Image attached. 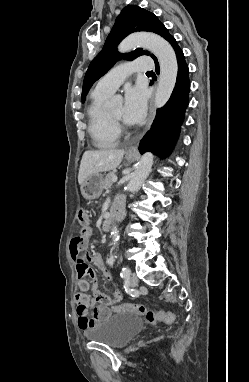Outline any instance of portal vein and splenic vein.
Instances as JSON below:
<instances>
[{
	"instance_id": "portal-vein-and-splenic-vein-1",
	"label": "portal vein and splenic vein",
	"mask_w": 249,
	"mask_h": 382,
	"mask_svg": "<svg viewBox=\"0 0 249 382\" xmlns=\"http://www.w3.org/2000/svg\"><path fill=\"white\" fill-rule=\"evenodd\" d=\"M117 180H118L117 176H114V177L112 178V181H113V182H117Z\"/></svg>"
}]
</instances>
